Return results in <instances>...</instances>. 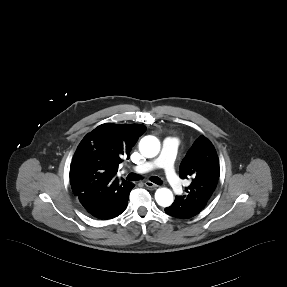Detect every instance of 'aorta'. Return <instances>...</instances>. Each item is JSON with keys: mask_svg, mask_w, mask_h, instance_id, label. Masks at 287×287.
Masks as SVG:
<instances>
[{"mask_svg": "<svg viewBox=\"0 0 287 287\" xmlns=\"http://www.w3.org/2000/svg\"><path fill=\"white\" fill-rule=\"evenodd\" d=\"M141 154L147 158L155 157L160 151V142L154 136H145L139 143ZM155 200L162 207L170 206L174 201L173 193L168 188H159L155 192Z\"/></svg>", "mask_w": 287, "mask_h": 287, "instance_id": "obj_1", "label": "aorta"}]
</instances>
